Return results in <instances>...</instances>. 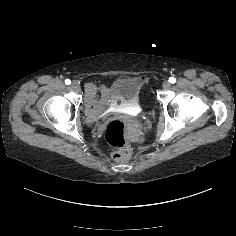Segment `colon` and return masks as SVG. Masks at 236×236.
<instances>
[{
  "label": "colon",
  "mask_w": 236,
  "mask_h": 236,
  "mask_svg": "<svg viewBox=\"0 0 236 236\" xmlns=\"http://www.w3.org/2000/svg\"><path fill=\"white\" fill-rule=\"evenodd\" d=\"M128 122L123 118L112 119L105 129L106 141L115 148L113 158L117 162H125L130 158L131 148L127 139Z\"/></svg>",
  "instance_id": "obj_1"
}]
</instances>
